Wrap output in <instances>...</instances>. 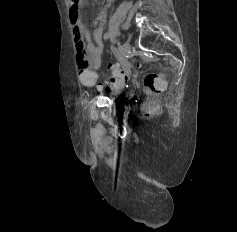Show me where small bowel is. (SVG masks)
Here are the masks:
<instances>
[{
    "label": "small bowel",
    "mask_w": 237,
    "mask_h": 232,
    "mask_svg": "<svg viewBox=\"0 0 237 232\" xmlns=\"http://www.w3.org/2000/svg\"><path fill=\"white\" fill-rule=\"evenodd\" d=\"M113 0H102L100 15L92 34L84 27L81 21V7L83 0H71L70 19L76 45V59L80 70H98L103 58V26L106 11Z\"/></svg>",
    "instance_id": "obj_1"
}]
</instances>
